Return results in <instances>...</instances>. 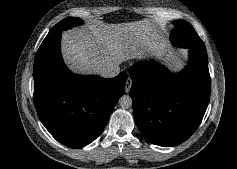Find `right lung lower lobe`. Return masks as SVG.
<instances>
[{
	"label": "right lung lower lobe",
	"instance_id": "obj_1",
	"mask_svg": "<svg viewBox=\"0 0 237 169\" xmlns=\"http://www.w3.org/2000/svg\"><path fill=\"white\" fill-rule=\"evenodd\" d=\"M61 34L46 36L34 62L37 114L60 143L80 148L94 141L123 95L127 74L105 79L73 74L60 51Z\"/></svg>",
	"mask_w": 237,
	"mask_h": 169
}]
</instances>
